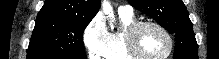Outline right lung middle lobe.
Masks as SVG:
<instances>
[{
  "instance_id": "right-lung-middle-lobe-1",
  "label": "right lung middle lobe",
  "mask_w": 219,
  "mask_h": 59,
  "mask_svg": "<svg viewBox=\"0 0 219 59\" xmlns=\"http://www.w3.org/2000/svg\"><path fill=\"white\" fill-rule=\"evenodd\" d=\"M90 21L37 17L26 59H87L83 32Z\"/></svg>"
}]
</instances>
